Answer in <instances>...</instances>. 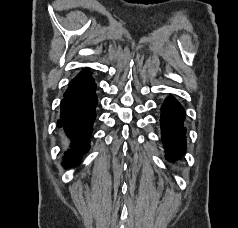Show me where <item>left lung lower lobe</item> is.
Returning a JSON list of instances; mask_svg holds the SVG:
<instances>
[{
    "label": "left lung lower lobe",
    "instance_id": "0a47b994",
    "mask_svg": "<svg viewBox=\"0 0 238 228\" xmlns=\"http://www.w3.org/2000/svg\"><path fill=\"white\" fill-rule=\"evenodd\" d=\"M161 111L160 124L166 157L169 161H175L180 159V152L186 147V129L183 127L185 111L174 97L165 100Z\"/></svg>",
    "mask_w": 238,
    "mask_h": 228
}]
</instances>
